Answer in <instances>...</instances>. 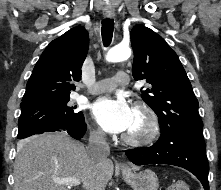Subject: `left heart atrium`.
Here are the masks:
<instances>
[{
  "label": "left heart atrium",
  "instance_id": "left-heart-atrium-1",
  "mask_svg": "<svg viewBox=\"0 0 221 190\" xmlns=\"http://www.w3.org/2000/svg\"><path fill=\"white\" fill-rule=\"evenodd\" d=\"M92 115L107 132H126L133 121L134 108L122 97H101L92 105Z\"/></svg>",
  "mask_w": 221,
  "mask_h": 190
}]
</instances>
